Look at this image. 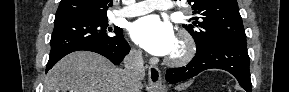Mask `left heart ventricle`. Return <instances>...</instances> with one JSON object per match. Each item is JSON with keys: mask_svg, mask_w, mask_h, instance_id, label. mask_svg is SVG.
Segmentation results:
<instances>
[{"mask_svg": "<svg viewBox=\"0 0 289 92\" xmlns=\"http://www.w3.org/2000/svg\"><path fill=\"white\" fill-rule=\"evenodd\" d=\"M178 49H179V47H178V45H177V43H176V46H175V48H174V50L172 51L171 54L176 53V52L178 51Z\"/></svg>", "mask_w": 289, "mask_h": 92, "instance_id": "obj_1", "label": "left heart ventricle"}]
</instances>
